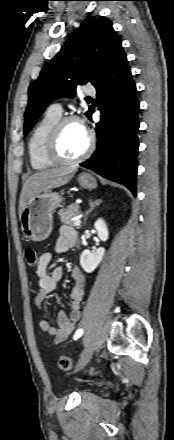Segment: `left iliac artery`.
I'll return each mask as SVG.
<instances>
[{"label": "left iliac artery", "mask_w": 174, "mask_h": 440, "mask_svg": "<svg viewBox=\"0 0 174 440\" xmlns=\"http://www.w3.org/2000/svg\"><path fill=\"white\" fill-rule=\"evenodd\" d=\"M82 334H83V329H78L75 332L74 339L76 340V339L80 338L82 336Z\"/></svg>", "instance_id": "obj_1"}]
</instances>
